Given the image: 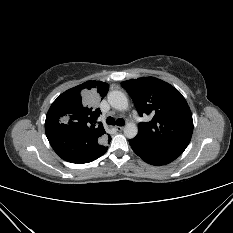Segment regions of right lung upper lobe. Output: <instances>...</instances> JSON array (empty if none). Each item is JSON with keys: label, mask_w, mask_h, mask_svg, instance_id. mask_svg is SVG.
<instances>
[{"label": "right lung upper lobe", "mask_w": 233, "mask_h": 233, "mask_svg": "<svg viewBox=\"0 0 233 233\" xmlns=\"http://www.w3.org/2000/svg\"><path fill=\"white\" fill-rule=\"evenodd\" d=\"M109 85L87 81L62 93L51 105L45 121L46 136L54 151L71 163H88L106 150L111 140L102 123L96 124L101 111L87 104L82 94L105 97Z\"/></svg>", "instance_id": "cb5924a9"}]
</instances>
